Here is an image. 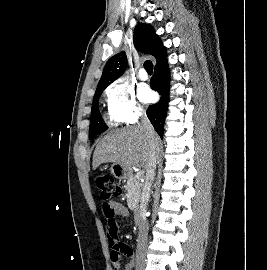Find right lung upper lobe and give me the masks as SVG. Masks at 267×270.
<instances>
[{"label": "right lung upper lobe", "instance_id": "obj_1", "mask_svg": "<svg viewBox=\"0 0 267 270\" xmlns=\"http://www.w3.org/2000/svg\"><path fill=\"white\" fill-rule=\"evenodd\" d=\"M134 45L136 49L154 56L156 60H158L166 51L152 26L145 23H139L136 26L134 31ZM126 66L127 56L125 52H120L111 57L104 67L102 77L95 93L104 91L108 85L118 79L125 71Z\"/></svg>", "mask_w": 267, "mask_h": 270}]
</instances>
